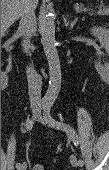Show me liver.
I'll list each match as a JSON object with an SVG mask.
<instances>
[{
    "mask_svg": "<svg viewBox=\"0 0 109 170\" xmlns=\"http://www.w3.org/2000/svg\"><path fill=\"white\" fill-rule=\"evenodd\" d=\"M24 0H1V30L5 32L20 17ZM39 0H30L35 10Z\"/></svg>",
    "mask_w": 109,
    "mask_h": 170,
    "instance_id": "liver-1",
    "label": "liver"
}]
</instances>
